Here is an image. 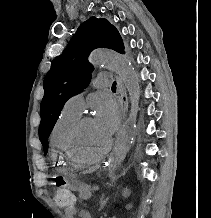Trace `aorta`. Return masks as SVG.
Here are the masks:
<instances>
[{"label": "aorta", "mask_w": 211, "mask_h": 218, "mask_svg": "<svg viewBox=\"0 0 211 218\" xmlns=\"http://www.w3.org/2000/svg\"><path fill=\"white\" fill-rule=\"evenodd\" d=\"M89 61L94 65L103 64L115 71L125 85L131 103L129 117L120 129L113 150V163L118 167L126 157L135 135L136 118L139 103V84L136 73L128 59L110 50L94 51Z\"/></svg>", "instance_id": "obj_1"}]
</instances>
